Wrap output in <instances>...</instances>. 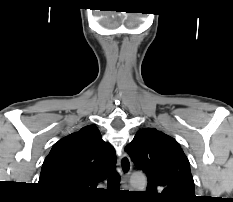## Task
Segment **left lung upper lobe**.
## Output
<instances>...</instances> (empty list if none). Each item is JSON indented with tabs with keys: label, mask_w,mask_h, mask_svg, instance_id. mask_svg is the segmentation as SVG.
Listing matches in <instances>:
<instances>
[{
	"label": "left lung upper lobe",
	"mask_w": 233,
	"mask_h": 202,
	"mask_svg": "<svg viewBox=\"0 0 233 202\" xmlns=\"http://www.w3.org/2000/svg\"><path fill=\"white\" fill-rule=\"evenodd\" d=\"M125 151L148 177L146 195L153 202H194L190 164L172 137L153 128L140 129Z\"/></svg>",
	"instance_id": "5c2ea615"
}]
</instances>
